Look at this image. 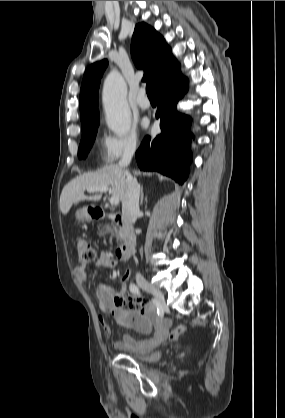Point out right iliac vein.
<instances>
[{
    "label": "right iliac vein",
    "mask_w": 285,
    "mask_h": 418,
    "mask_svg": "<svg viewBox=\"0 0 285 418\" xmlns=\"http://www.w3.org/2000/svg\"><path fill=\"white\" fill-rule=\"evenodd\" d=\"M137 283L143 290L151 293L160 304H164V295L158 287L148 282L143 276L137 277Z\"/></svg>",
    "instance_id": "1"
}]
</instances>
